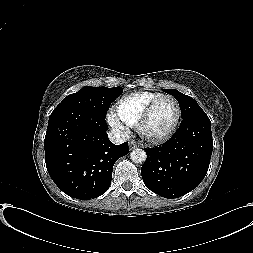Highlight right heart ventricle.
<instances>
[{
	"label": "right heart ventricle",
	"mask_w": 253,
	"mask_h": 253,
	"mask_svg": "<svg viewBox=\"0 0 253 253\" xmlns=\"http://www.w3.org/2000/svg\"><path fill=\"white\" fill-rule=\"evenodd\" d=\"M158 92H135L124 96L116 105L118 119L127 127H137L138 121L148 105L161 96Z\"/></svg>",
	"instance_id": "1"
}]
</instances>
